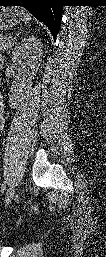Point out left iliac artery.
<instances>
[{"label":"left iliac artery","mask_w":106,"mask_h":257,"mask_svg":"<svg viewBox=\"0 0 106 257\" xmlns=\"http://www.w3.org/2000/svg\"><path fill=\"white\" fill-rule=\"evenodd\" d=\"M5 188H6V181H4V182L2 183L1 192H3V191L5 190Z\"/></svg>","instance_id":"obj_1"}]
</instances>
